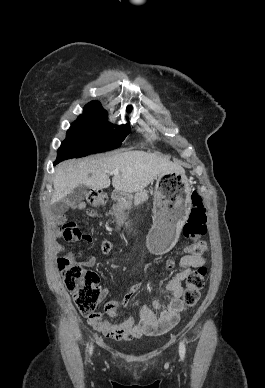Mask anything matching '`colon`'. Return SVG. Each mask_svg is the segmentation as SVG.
I'll list each match as a JSON object with an SVG mask.
<instances>
[{"label": "colon", "instance_id": "5ec220e1", "mask_svg": "<svg viewBox=\"0 0 265 388\" xmlns=\"http://www.w3.org/2000/svg\"><path fill=\"white\" fill-rule=\"evenodd\" d=\"M88 200L92 206L98 207L105 204L107 195L103 190H95L90 193ZM191 201L192 208L183 227V235L194 241L187 247V252L190 255L202 256L208 250L207 243L203 240L207 233L206 208L201 195L196 190L191 193ZM60 236L66 241H76L82 238L81 232L73 222L64 223ZM101 250L103 253H109L111 244L108 241L102 242ZM172 265L173 262L169 261L168 266L171 268ZM58 267L65 286L72 294L80 313L89 321L100 319L95 312L100 296L97 273L85 269L84 266L67 257L58 259ZM206 273L205 267H199L187 276L186 288L182 297L184 309L194 307L198 303L205 284Z\"/></svg>", "mask_w": 265, "mask_h": 388}]
</instances>
